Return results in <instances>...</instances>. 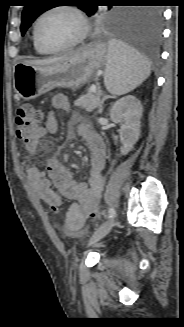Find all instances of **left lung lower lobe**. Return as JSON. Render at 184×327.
I'll return each instance as SVG.
<instances>
[{
	"instance_id": "0a47b994",
	"label": "left lung lower lobe",
	"mask_w": 184,
	"mask_h": 327,
	"mask_svg": "<svg viewBox=\"0 0 184 327\" xmlns=\"http://www.w3.org/2000/svg\"><path fill=\"white\" fill-rule=\"evenodd\" d=\"M135 18L120 30V39L133 48L156 56L162 31V12L155 7L137 10Z\"/></svg>"
}]
</instances>
